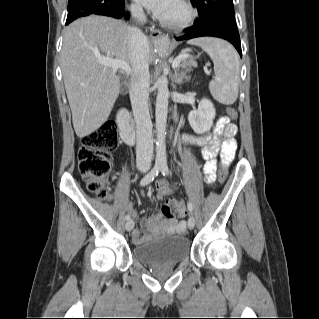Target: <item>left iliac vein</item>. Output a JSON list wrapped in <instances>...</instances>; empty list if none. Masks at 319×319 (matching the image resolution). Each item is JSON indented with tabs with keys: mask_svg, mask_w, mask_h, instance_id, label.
<instances>
[{
	"mask_svg": "<svg viewBox=\"0 0 319 319\" xmlns=\"http://www.w3.org/2000/svg\"><path fill=\"white\" fill-rule=\"evenodd\" d=\"M195 226V218L191 215L189 218H188V227L190 229H193Z\"/></svg>",
	"mask_w": 319,
	"mask_h": 319,
	"instance_id": "left-iliac-vein-1",
	"label": "left iliac vein"
}]
</instances>
